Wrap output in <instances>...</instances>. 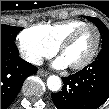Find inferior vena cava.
Segmentation results:
<instances>
[{
    "label": "inferior vena cava",
    "mask_w": 109,
    "mask_h": 109,
    "mask_svg": "<svg viewBox=\"0 0 109 109\" xmlns=\"http://www.w3.org/2000/svg\"><path fill=\"white\" fill-rule=\"evenodd\" d=\"M30 62L35 64V65H42L43 64V59L40 56H34L30 59Z\"/></svg>",
    "instance_id": "inferior-vena-cava-1"
}]
</instances>
